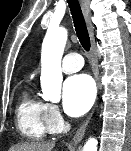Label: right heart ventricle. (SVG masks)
Listing matches in <instances>:
<instances>
[{
  "label": "right heart ventricle",
  "mask_w": 131,
  "mask_h": 151,
  "mask_svg": "<svg viewBox=\"0 0 131 151\" xmlns=\"http://www.w3.org/2000/svg\"><path fill=\"white\" fill-rule=\"evenodd\" d=\"M16 118L20 133L28 139H43L52 132L46 118V103L30 92L22 94Z\"/></svg>",
  "instance_id": "obj_1"
}]
</instances>
